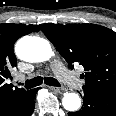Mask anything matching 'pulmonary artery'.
Listing matches in <instances>:
<instances>
[{"label":"pulmonary artery","mask_w":116,"mask_h":116,"mask_svg":"<svg viewBox=\"0 0 116 116\" xmlns=\"http://www.w3.org/2000/svg\"><path fill=\"white\" fill-rule=\"evenodd\" d=\"M51 67L55 75L66 85L72 88H80L82 86L81 80L73 72L68 71L59 61H54ZM15 79L21 81L23 76L17 75Z\"/></svg>","instance_id":"obj_1"}]
</instances>
